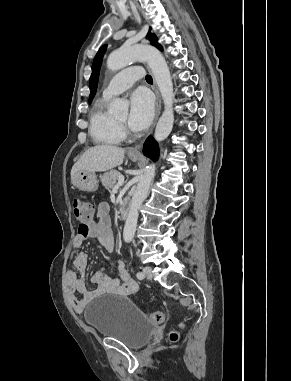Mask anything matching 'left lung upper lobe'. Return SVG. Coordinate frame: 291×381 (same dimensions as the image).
I'll return each mask as SVG.
<instances>
[{
	"mask_svg": "<svg viewBox=\"0 0 291 381\" xmlns=\"http://www.w3.org/2000/svg\"><path fill=\"white\" fill-rule=\"evenodd\" d=\"M147 38L151 42L153 46H156L158 49L162 50L161 45L157 42V37L154 34H151L150 32L147 34ZM107 45H104L100 48L98 53L96 54L93 65H92V74L90 77V96H89V103L92 101L93 97L95 96L97 85H98V77H99V70L102 62V58L104 55V52L106 50Z\"/></svg>",
	"mask_w": 291,
	"mask_h": 381,
	"instance_id": "obj_1",
	"label": "left lung upper lobe"
}]
</instances>
